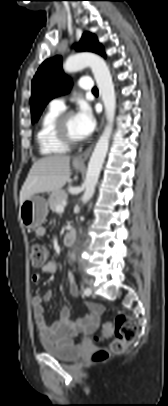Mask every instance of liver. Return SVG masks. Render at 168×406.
Instances as JSON below:
<instances>
[{"mask_svg": "<svg viewBox=\"0 0 168 406\" xmlns=\"http://www.w3.org/2000/svg\"><path fill=\"white\" fill-rule=\"evenodd\" d=\"M70 157L53 155L37 160L20 191V206L35 194L59 191L70 178Z\"/></svg>", "mask_w": 168, "mask_h": 406, "instance_id": "liver-1", "label": "liver"}]
</instances>
